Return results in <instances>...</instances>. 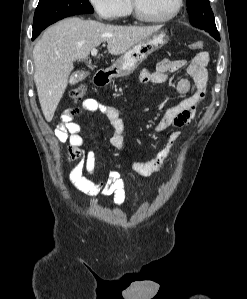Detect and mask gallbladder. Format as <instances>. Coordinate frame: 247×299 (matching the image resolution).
<instances>
[{"mask_svg": "<svg viewBox=\"0 0 247 299\" xmlns=\"http://www.w3.org/2000/svg\"><path fill=\"white\" fill-rule=\"evenodd\" d=\"M80 74H81L80 72H77L75 75H72L71 79H70V83L74 84V83L78 82L79 80H81Z\"/></svg>", "mask_w": 247, "mask_h": 299, "instance_id": "bac80fb5", "label": "gallbladder"}]
</instances>
